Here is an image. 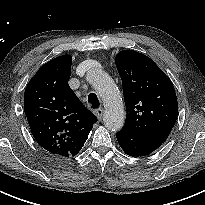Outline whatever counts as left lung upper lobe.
Returning <instances> with one entry per match:
<instances>
[{"mask_svg":"<svg viewBox=\"0 0 205 205\" xmlns=\"http://www.w3.org/2000/svg\"><path fill=\"white\" fill-rule=\"evenodd\" d=\"M115 62L127 110L123 128L164 143L178 114L171 80L153 60L136 51L119 52Z\"/></svg>","mask_w":205,"mask_h":205,"instance_id":"1","label":"left lung upper lobe"}]
</instances>
